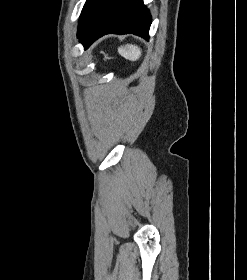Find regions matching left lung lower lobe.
Segmentation results:
<instances>
[{
	"label": "left lung lower lobe",
	"instance_id": "obj_1",
	"mask_svg": "<svg viewBox=\"0 0 247 280\" xmlns=\"http://www.w3.org/2000/svg\"><path fill=\"white\" fill-rule=\"evenodd\" d=\"M150 25L151 15L143 0H101L86 18L78 37L85 49L108 33H133L148 39Z\"/></svg>",
	"mask_w": 247,
	"mask_h": 280
}]
</instances>
